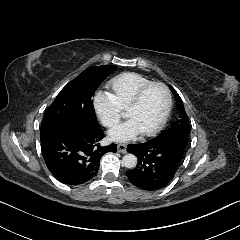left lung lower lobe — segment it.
I'll use <instances>...</instances> for the list:
<instances>
[{"label":"left lung lower lobe","instance_id":"obj_1","mask_svg":"<svg viewBox=\"0 0 240 240\" xmlns=\"http://www.w3.org/2000/svg\"><path fill=\"white\" fill-rule=\"evenodd\" d=\"M186 145V141L178 138H156L128 145L127 151L138 159L137 166L126 172L130 182L147 191L163 188L174 176Z\"/></svg>","mask_w":240,"mask_h":240}]
</instances>
